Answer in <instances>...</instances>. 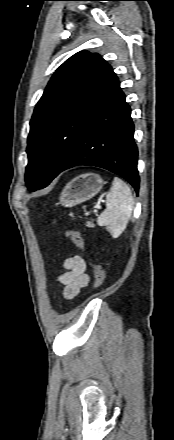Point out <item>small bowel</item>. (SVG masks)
Returning a JSON list of instances; mask_svg holds the SVG:
<instances>
[{
    "label": "small bowel",
    "instance_id": "c3829d8e",
    "mask_svg": "<svg viewBox=\"0 0 174 440\" xmlns=\"http://www.w3.org/2000/svg\"><path fill=\"white\" fill-rule=\"evenodd\" d=\"M63 268L65 271L57 278L63 285V296L68 300L77 298L90 281L85 261L81 256L73 255L64 260Z\"/></svg>",
    "mask_w": 174,
    "mask_h": 440
}]
</instances>
